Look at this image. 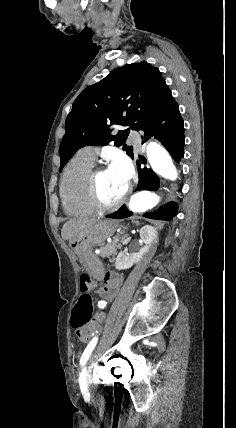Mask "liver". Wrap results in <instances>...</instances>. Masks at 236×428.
I'll list each match as a JSON object with an SVG mask.
<instances>
[{
  "label": "liver",
  "mask_w": 236,
  "mask_h": 428,
  "mask_svg": "<svg viewBox=\"0 0 236 428\" xmlns=\"http://www.w3.org/2000/svg\"><path fill=\"white\" fill-rule=\"evenodd\" d=\"M96 222L97 220H89V218H86V220H69L64 224L61 236L63 240H75L88 226H93Z\"/></svg>",
  "instance_id": "obj_1"
}]
</instances>
